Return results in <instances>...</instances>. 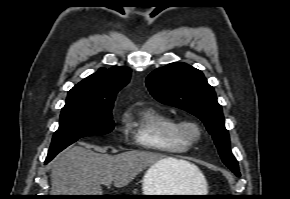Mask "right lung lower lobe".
Listing matches in <instances>:
<instances>
[{
  "mask_svg": "<svg viewBox=\"0 0 290 199\" xmlns=\"http://www.w3.org/2000/svg\"><path fill=\"white\" fill-rule=\"evenodd\" d=\"M54 158V157H53ZM53 158L51 157H47L46 160H45V164H47L48 162H50Z\"/></svg>",
  "mask_w": 290,
  "mask_h": 199,
  "instance_id": "right-lung-lower-lobe-1",
  "label": "right lung lower lobe"
}]
</instances>
